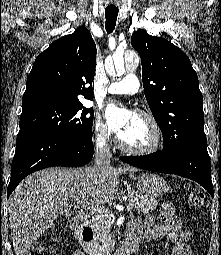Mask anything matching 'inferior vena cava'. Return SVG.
Here are the masks:
<instances>
[{"instance_id": "602c4592", "label": "inferior vena cava", "mask_w": 221, "mask_h": 255, "mask_svg": "<svg viewBox=\"0 0 221 255\" xmlns=\"http://www.w3.org/2000/svg\"><path fill=\"white\" fill-rule=\"evenodd\" d=\"M95 168L105 170L110 167L111 153L106 143V138L102 137L96 144L95 150Z\"/></svg>"}]
</instances>
